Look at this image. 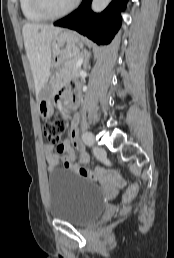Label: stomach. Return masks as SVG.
Masks as SVG:
<instances>
[{
	"label": "stomach",
	"mask_w": 174,
	"mask_h": 258,
	"mask_svg": "<svg viewBox=\"0 0 174 258\" xmlns=\"http://www.w3.org/2000/svg\"><path fill=\"white\" fill-rule=\"evenodd\" d=\"M82 43L78 36L70 30H62L51 42L53 60L60 65L66 60L77 57L80 54ZM53 87L54 79L51 78L41 89L38 96V112L43 119L53 114Z\"/></svg>",
	"instance_id": "1"
}]
</instances>
